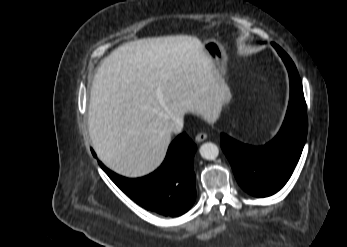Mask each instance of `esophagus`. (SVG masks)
Listing matches in <instances>:
<instances>
[{"label": "esophagus", "mask_w": 347, "mask_h": 247, "mask_svg": "<svg viewBox=\"0 0 347 247\" xmlns=\"http://www.w3.org/2000/svg\"><path fill=\"white\" fill-rule=\"evenodd\" d=\"M206 139H207V134H206V133H203V132L198 133V134L196 135V137H195V140H196L197 142H203V141L206 140Z\"/></svg>", "instance_id": "obj_1"}]
</instances>
